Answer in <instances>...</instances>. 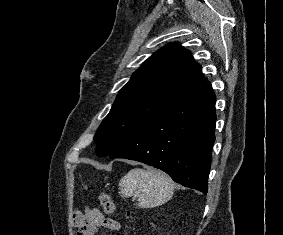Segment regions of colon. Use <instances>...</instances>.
<instances>
[{
  "instance_id": "colon-1",
  "label": "colon",
  "mask_w": 283,
  "mask_h": 235,
  "mask_svg": "<svg viewBox=\"0 0 283 235\" xmlns=\"http://www.w3.org/2000/svg\"><path fill=\"white\" fill-rule=\"evenodd\" d=\"M100 204L106 214H113L116 211V205L112 200V197L107 193H101L99 195Z\"/></svg>"
}]
</instances>
